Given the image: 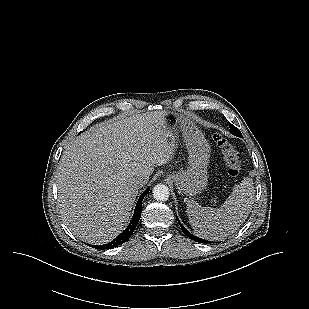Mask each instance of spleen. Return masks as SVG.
<instances>
[{"mask_svg":"<svg viewBox=\"0 0 309 309\" xmlns=\"http://www.w3.org/2000/svg\"><path fill=\"white\" fill-rule=\"evenodd\" d=\"M255 190L246 177L234 186L231 195L218 209L187 204L186 213L195 234L208 240H222L234 233L252 210Z\"/></svg>","mask_w":309,"mask_h":309,"instance_id":"3e777b00","label":"spleen"}]
</instances>
